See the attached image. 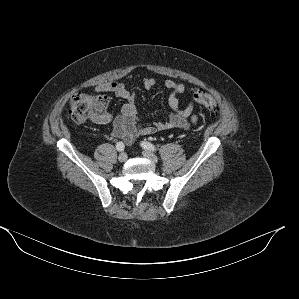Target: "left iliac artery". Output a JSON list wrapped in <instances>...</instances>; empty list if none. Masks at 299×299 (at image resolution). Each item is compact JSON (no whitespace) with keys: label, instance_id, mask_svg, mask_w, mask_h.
<instances>
[{"label":"left iliac artery","instance_id":"44dca946","mask_svg":"<svg viewBox=\"0 0 299 299\" xmlns=\"http://www.w3.org/2000/svg\"><path fill=\"white\" fill-rule=\"evenodd\" d=\"M141 145L144 149H147V150H150V151H156V147L153 144L149 143V142H142Z\"/></svg>","mask_w":299,"mask_h":299}]
</instances>
